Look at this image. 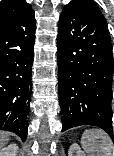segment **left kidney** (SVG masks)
<instances>
[{
  "label": "left kidney",
  "mask_w": 114,
  "mask_h": 156,
  "mask_svg": "<svg viewBox=\"0 0 114 156\" xmlns=\"http://www.w3.org/2000/svg\"><path fill=\"white\" fill-rule=\"evenodd\" d=\"M68 156H86L77 143H73L68 151Z\"/></svg>",
  "instance_id": "1"
}]
</instances>
